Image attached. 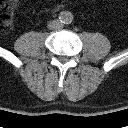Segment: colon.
I'll return each mask as SVG.
<instances>
[{
  "label": "colon",
  "instance_id": "1",
  "mask_svg": "<svg viewBox=\"0 0 128 128\" xmlns=\"http://www.w3.org/2000/svg\"><path fill=\"white\" fill-rule=\"evenodd\" d=\"M14 3L10 0H0V30H8L13 23Z\"/></svg>",
  "mask_w": 128,
  "mask_h": 128
}]
</instances>
